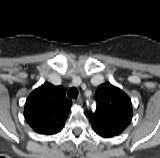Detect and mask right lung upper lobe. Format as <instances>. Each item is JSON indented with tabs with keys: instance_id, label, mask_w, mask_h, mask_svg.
Listing matches in <instances>:
<instances>
[{
	"instance_id": "1",
	"label": "right lung upper lobe",
	"mask_w": 160,
	"mask_h": 158,
	"mask_svg": "<svg viewBox=\"0 0 160 158\" xmlns=\"http://www.w3.org/2000/svg\"><path fill=\"white\" fill-rule=\"evenodd\" d=\"M71 104L62 86L46 82L29 95L24 116L35 132L53 135L62 130Z\"/></svg>"
}]
</instances>
